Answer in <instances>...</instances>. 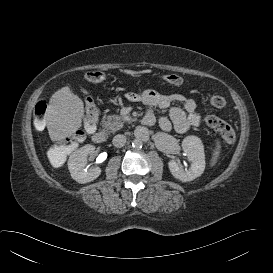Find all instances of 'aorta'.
Instances as JSON below:
<instances>
[{"label": "aorta", "instance_id": "1", "mask_svg": "<svg viewBox=\"0 0 273 273\" xmlns=\"http://www.w3.org/2000/svg\"><path fill=\"white\" fill-rule=\"evenodd\" d=\"M142 145H143V142H142V140L139 139V138L134 139L133 142H132V146H133L134 148H141Z\"/></svg>", "mask_w": 273, "mask_h": 273}]
</instances>
